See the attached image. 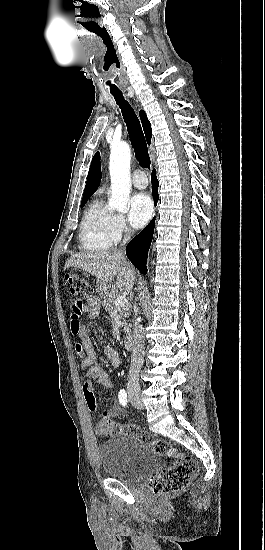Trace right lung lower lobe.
<instances>
[{"mask_svg":"<svg viewBox=\"0 0 265 550\" xmlns=\"http://www.w3.org/2000/svg\"><path fill=\"white\" fill-rule=\"evenodd\" d=\"M152 195L155 205L159 199L158 186L159 182L156 177V171L153 170L152 176ZM155 226V218L144 228L136 237H134L126 247V255L132 264L143 274L147 273L146 262L148 250L152 241Z\"/></svg>","mask_w":265,"mask_h":550,"instance_id":"obj_1","label":"right lung lower lobe"}]
</instances>
